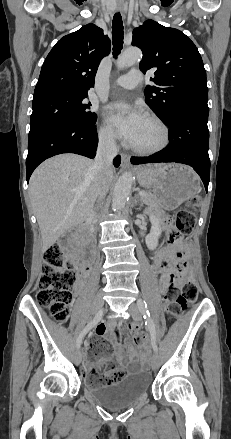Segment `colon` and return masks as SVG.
<instances>
[{
  "label": "colon",
  "instance_id": "5ec220e1",
  "mask_svg": "<svg viewBox=\"0 0 231 439\" xmlns=\"http://www.w3.org/2000/svg\"><path fill=\"white\" fill-rule=\"evenodd\" d=\"M198 198L189 202V207L196 206ZM195 216L189 209L179 210L174 217V225L177 232L170 236L172 243L182 241V234L191 231L194 227ZM187 253L180 251L175 262L178 274L165 273L162 282L166 287L164 301L166 311L172 316H179L188 302H194L199 296L198 286L188 279ZM76 281L74 265L63 255L59 245H53L44 252L42 275L39 279V291L36 296L37 303L48 309L49 314L58 322H63L69 314V306L72 301V291ZM137 325H131L130 332L135 334ZM89 357L92 359L107 358L112 348L105 340L92 337L89 341ZM107 365L105 366V368ZM104 368V369H105ZM90 370L87 377L89 386H102L116 384L122 381L126 375L123 369H111L109 371Z\"/></svg>",
  "mask_w": 231,
  "mask_h": 439
}]
</instances>
